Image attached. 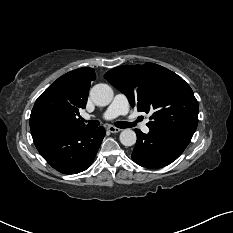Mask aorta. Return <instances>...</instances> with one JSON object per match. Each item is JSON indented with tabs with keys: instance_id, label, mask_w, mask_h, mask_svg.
Listing matches in <instances>:
<instances>
[{
	"instance_id": "obj_1",
	"label": "aorta",
	"mask_w": 233,
	"mask_h": 233,
	"mask_svg": "<svg viewBox=\"0 0 233 233\" xmlns=\"http://www.w3.org/2000/svg\"><path fill=\"white\" fill-rule=\"evenodd\" d=\"M90 97L97 106H107L113 99V90L107 84H96L90 91ZM119 138L124 146H132L137 140L136 133L131 129H124Z\"/></svg>"
}]
</instances>
